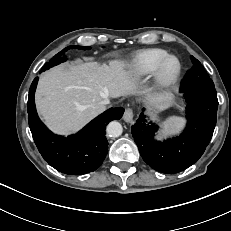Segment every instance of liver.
Segmentation results:
<instances>
[{
    "label": "liver",
    "instance_id": "6515ba94",
    "mask_svg": "<svg viewBox=\"0 0 231 231\" xmlns=\"http://www.w3.org/2000/svg\"><path fill=\"white\" fill-rule=\"evenodd\" d=\"M126 67L124 61L112 60L63 64L47 71L35 95L39 114L56 133L80 129L102 111L101 100L134 92L136 79Z\"/></svg>",
    "mask_w": 231,
    "mask_h": 231
}]
</instances>
